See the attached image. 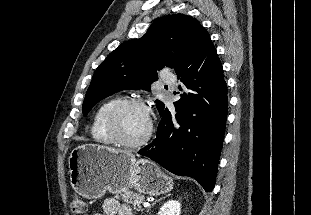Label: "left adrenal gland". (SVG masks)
Here are the masks:
<instances>
[{"label":"left adrenal gland","instance_id":"left-adrenal-gland-1","mask_svg":"<svg viewBox=\"0 0 311 215\" xmlns=\"http://www.w3.org/2000/svg\"><path fill=\"white\" fill-rule=\"evenodd\" d=\"M168 196H169V195H168ZM164 198H166V197H163V198H160V199H158V200L154 201V202L152 203V205H151V206L155 205L157 202L161 201V200H162V199H164ZM151 206H149V207H148L147 212H149V210H150Z\"/></svg>","mask_w":311,"mask_h":215}]
</instances>
